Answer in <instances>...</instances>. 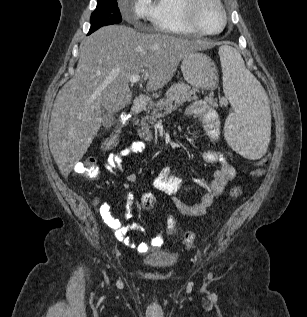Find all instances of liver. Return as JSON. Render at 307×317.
I'll return each mask as SVG.
<instances>
[{
	"mask_svg": "<svg viewBox=\"0 0 307 317\" xmlns=\"http://www.w3.org/2000/svg\"><path fill=\"white\" fill-rule=\"evenodd\" d=\"M213 44L123 25L106 26L80 46L75 75L59 91L49 123V148L64 176L83 157L103 122L131 101L129 78L142 74L147 91L163 88L185 54Z\"/></svg>",
	"mask_w": 307,
	"mask_h": 317,
	"instance_id": "liver-1",
	"label": "liver"
}]
</instances>
